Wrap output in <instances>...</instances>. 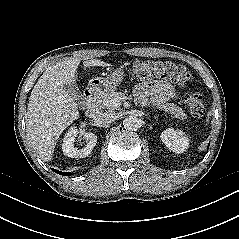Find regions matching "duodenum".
<instances>
[{
    "label": "duodenum",
    "mask_w": 239,
    "mask_h": 239,
    "mask_svg": "<svg viewBox=\"0 0 239 239\" xmlns=\"http://www.w3.org/2000/svg\"><path fill=\"white\" fill-rule=\"evenodd\" d=\"M86 115L90 118L96 117L99 114L98 108V93L94 88H89L85 91Z\"/></svg>",
    "instance_id": "410a0bca"
}]
</instances>
